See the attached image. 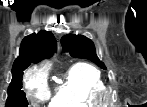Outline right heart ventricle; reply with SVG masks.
Masks as SVG:
<instances>
[{
	"mask_svg": "<svg viewBox=\"0 0 147 107\" xmlns=\"http://www.w3.org/2000/svg\"><path fill=\"white\" fill-rule=\"evenodd\" d=\"M104 88L101 72L96 67L77 63L55 89L50 104L52 107H100L95 96Z\"/></svg>",
	"mask_w": 147,
	"mask_h": 107,
	"instance_id": "right-heart-ventricle-1",
	"label": "right heart ventricle"
}]
</instances>
